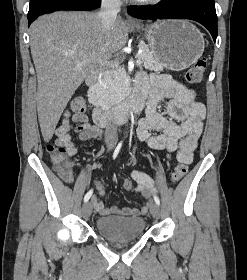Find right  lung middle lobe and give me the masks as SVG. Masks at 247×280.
<instances>
[{
	"label": "right lung middle lobe",
	"mask_w": 247,
	"mask_h": 280,
	"mask_svg": "<svg viewBox=\"0 0 247 280\" xmlns=\"http://www.w3.org/2000/svg\"><path fill=\"white\" fill-rule=\"evenodd\" d=\"M40 0H30V7L36 5Z\"/></svg>",
	"instance_id": "dd1d6c3e"
}]
</instances>
